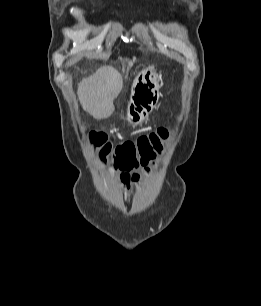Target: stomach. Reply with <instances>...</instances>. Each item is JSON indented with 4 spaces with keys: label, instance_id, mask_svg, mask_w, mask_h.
Wrapping results in <instances>:
<instances>
[{
    "label": "stomach",
    "instance_id": "0dacf381",
    "mask_svg": "<svg viewBox=\"0 0 261 306\" xmlns=\"http://www.w3.org/2000/svg\"><path fill=\"white\" fill-rule=\"evenodd\" d=\"M159 89L158 75L154 71H151L148 75V81L144 79L141 83L133 85L127 108V120L130 124L133 126L140 125L148 117L158 102Z\"/></svg>",
    "mask_w": 261,
    "mask_h": 306
}]
</instances>
